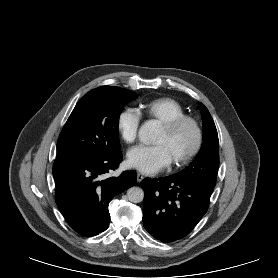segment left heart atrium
Instances as JSON below:
<instances>
[{
    "label": "left heart atrium",
    "mask_w": 278,
    "mask_h": 278,
    "mask_svg": "<svg viewBox=\"0 0 278 278\" xmlns=\"http://www.w3.org/2000/svg\"><path fill=\"white\" fill-rule=\"evenodd\" d=\"M170 163V158L161 145L137 146L128 153V164L149 175L162 171Z\"/></svg>",
    "instance_id": "obj_1"
}]
</instances>
